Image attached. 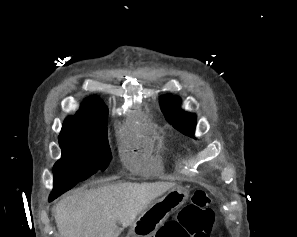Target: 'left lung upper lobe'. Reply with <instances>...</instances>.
I'll return each instance as SVG.
<instances>
[{
    "mask_svg": "<svg viewBox=\"0 0 297 237\" xmlns=\"http://www.w3.org/2000/svg\"><path fill=\"white\" fill-rule=\"evenodd\" d=\"M180 99L172 95L160 99L161 110L166 120L184 135L194 137L196 115L183 112L180 108Z\"/></svg>",
    "mask_w": 297,
    "mask_h": 237,
    "instance_id": "obj_1",
    "label": "left lung upper lobe"
}]
</instances>
